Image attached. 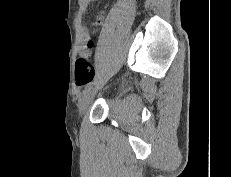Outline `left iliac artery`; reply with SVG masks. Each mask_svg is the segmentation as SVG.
Masks as SVG:
<instances>
[{"label":"left iliac artery","instance_id":"1","mask_svg":"<svg viewBox=\"0 0 231 177\" xmlns=\"http://www.w3.org/2000/svg\"><path fill=\"white\" fill-rule=\"evenodd\" d=\"M93 84H94V82L89 83V84L84 88L83 94H84L86 91H88V90L92 87Z\"/></svg>","mask_w":231,"mask_h":177}]
</instances>
